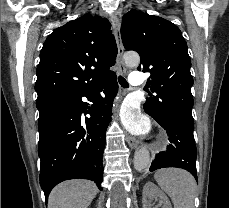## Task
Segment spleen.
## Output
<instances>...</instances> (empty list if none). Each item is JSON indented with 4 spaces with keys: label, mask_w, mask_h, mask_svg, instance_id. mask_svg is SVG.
I'll return each mask as SVG.
<instances>
[{
    "label": "spleen",
    "mask_w": 229,
    "mask_h": 208,
    "mask_svg": "<svg viewBox=\"0 0 229 208\" xmlns=\"http://www.w3.org/2000/svg\"><path fill=\"white\" fill-rule=\"evenodd\" d=\"M158 186L170 196L174 208H194L196 182L185 170L164 168L154 174Z\"/></svg>",
    "instance_id": "3e777b00"
}]
</instances>
